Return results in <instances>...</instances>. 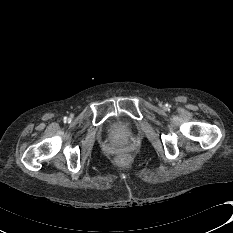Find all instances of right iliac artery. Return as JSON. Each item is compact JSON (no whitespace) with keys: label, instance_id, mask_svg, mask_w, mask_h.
I'll use <instances>...</instances> for the list:
<instances>
[{"label":"right iliac artery","instance_id":"right-iliac-artery-1","mask_svg":"<svg viewBox=\"0 0 233 233\" xmlns=\"http://www.w3.org/2000/svg\"><path fill=\"white\" fill-rule=\"evenodd\" d=\"M64 122H67V117H64Z\"/></svg>","mask_w":233,"mask_h":233}]
</instances>
